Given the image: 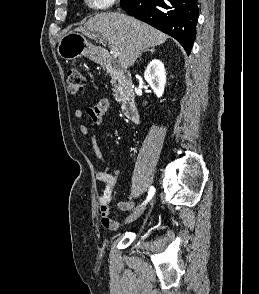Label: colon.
Masks as SVG:
<instances>
[{
  "label": "colon",
  "mask_w": 259,
  "mask_h": 294,
  "mask_svg": "<svg viewBox=\"0 0 259 294\" xmlns=\"http://www.w3.org/2000/svg\"><path fill=\"white\" fill-rule=\"evenodd\" d=\"M67 89L71 94H76L84 90L85 78L77 67H71L67 71Z\"/></svg>",
  "instance_id": "1"
}]
</instances>
